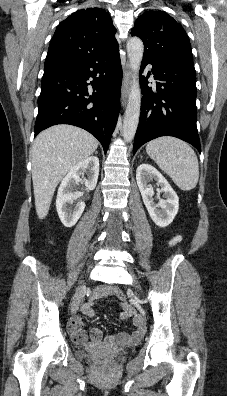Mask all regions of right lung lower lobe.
Listing matches in <instances>:
<instances>
[{"label":"right lung lower lobe","instance_id":"1","mask_svg":"<svg viewBox=\"0 0 227 396\" xmlns=\"http://www.w3.org/2000/svg\"><path fill=\"white\" fill-rule=\"evenodd\" d=\"M89 78H93L92 93L87 88ZM121 81L118 49L44 70L35 136L50 126L70 124L93 134L106 153L118 119Z\"/></svg>","mask_w":227,"mask_h":396}]
</instances>
